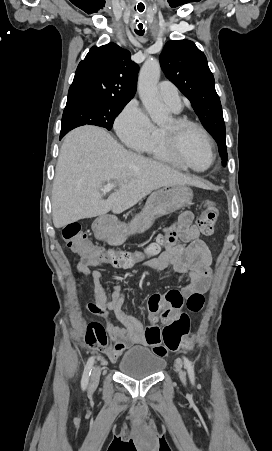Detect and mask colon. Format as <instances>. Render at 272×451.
<instances>
[{
    "label": "colon",
    "instance_id": "1",
    "mask_svg": "<svg viewBox=\"0 0 272 451\" xmlns=\"http://www.w3.org/2000/svg\"><path fill=\"white\" fill-rule=\"evenodd\" d=\"M217 215L213 203L208 202L205 213L200 215L197 220V227L206 238L213 234ZM87 237L81 226L75 222H69L62 230V239L67 247L78 250L80 256H91L93 253V256L109 258L112 268L132 264L135 255L124 251L109 250L106 247H93L92 241H86ZM75 264L79 270L84 271L87 267L93 266L94 261L91 258H83L77 259ZM207 304L206 298L193 295L187 300V311L188 313H203ZM145 332V347L154 348L155 354L161 357L176 352L180 346L195 347L197 344L195 338H183L189 332V317L185 313L180 314L177 319L168 322L163 327L150 325ZM85 342L90 347L107 346L108 334L105 325L99 321H91L86 328Z\"/></svg>",
    "mask_w": 272,
    "mask_h": 451
}]
</instances>
